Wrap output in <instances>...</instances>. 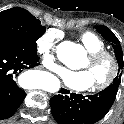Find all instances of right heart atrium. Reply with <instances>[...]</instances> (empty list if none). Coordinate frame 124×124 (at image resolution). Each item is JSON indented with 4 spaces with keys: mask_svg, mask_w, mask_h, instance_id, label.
<instances>
[{
    "mask_svg": "<svg viewBox=\"0 0 124 124\" xmlns=\"http://www.w3.org/2000/svg\"><path fill=\"white\" fill-rule=\"evenodd\" d=\"M57 33L53 30L44 32L36 42L38 54L41 56L42 63L50 70H56L57 56L55 54Z\"/></svg>",
    "mask_w": 124,
    "mask_h": 124,
    "instance_id": "d8ad5b80",
    "label": "right heart atrium"
}]
</instances>
